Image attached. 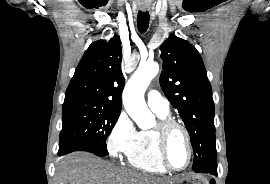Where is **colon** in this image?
Here are the masks:
<instances>
[{
  "label": "colon",
  "instance_id": "1",
  "mask_svg": "<svg viewBox=\"0 0 270 184\" xmlns=\"http://www.w3.org/2000/svg\"><path fill=\"white\" fill-rule=\"evenodd\" d=\"M209 184H216L215 181L211 180Z\"/></svg>",
  "mask_w": 270,
  "mask_h": 184
}]
</instances>
